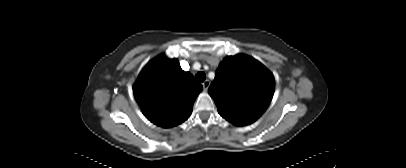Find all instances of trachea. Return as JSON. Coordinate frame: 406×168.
Returning a JSON list of instances; mask_svg holds the SVG:
<instances>
[{
  "label": "trachea",
  "mask_w": 406,
  "mask_h": 168,
  "mask_svg": "<svg viewBox=\"0 0 406 168\" xmlns=\"http://www.w3.org/2000/svg\"><path fill=\"white\" fill-rule=\"evenodd\" d=\"M195 79L197 80V82H204V80L206 79V74L204 72H198L195 75Z\"/></svg>",
  "instance_id": "obj_1"
}]
</instances>
